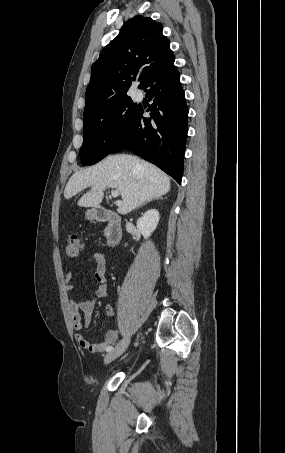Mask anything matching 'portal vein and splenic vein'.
Returning <instances> with one entry per match:
<instances>
[{
  "label": "portal vein and splenic vein",
  "instance_id": "portal-vein-and-splenic-vein-1",
  "mask_svg": "<svg viewBox=\"0 0 285 453\" xmlns=\"http://www.w3.org/2000/svg\"><path fill=\"white\" fill-rule=\"evenodd\" d=\"M119 194H120V192L118 190H112L111 191V196L114 197V198L118 197ZM117 204L119 205V204H121V202L118 201Z\"/></svg>",
  "mask_w": 285,
  "mask_h": 453
}]
</instances>
